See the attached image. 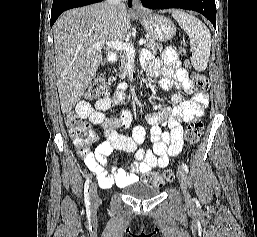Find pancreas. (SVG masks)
I'll list each match as a JSON object with an SVG mask.
<instances>
[{
	"label": "pancreas",
	"mask_w": 257,
	"mask_h": 237,
	"mask_svg": "<svg viewBox=\"0 0 257 237\" xmlns=\"http://www.w3.org/2000/svg\"><path fill=\"white\" fill-rule=\"evenodd\" d=\"M145 41H146V48L148 50H152L153 53H155L158 49H160L161 44L156 42L155 40L151 38H147ZM128 60H129V54L124 52L121 56V61H120V70L122 72H126Z\"/></svg>",
	"instance_id": "obj_1"
}]
</instances>
